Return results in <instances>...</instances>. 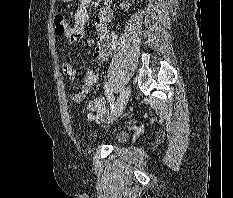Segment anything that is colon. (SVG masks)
<instances>
[{"label":"colon","mask_w":233,"mask_h":198,"mask_svg":"<svg viewBox=\"0 0 233 198\" xmlns=\"http://www.w3.org/2000/svg\"><path fill=\"white\" fill-rule=\"evenodd\" d=\"M55 33L57 35H63L67 29V22L62 14H56L54 17ZM106 102L104 98L97 97L92 99L88 105L87 109L91 112L102 114L105 110Z\"/></svg>","instance_id":"colon-1"}]
</instances>
